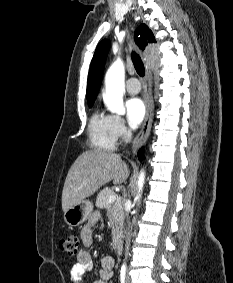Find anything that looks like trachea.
<instances>
[{"label":"trachea","instance_id":"1","mask_svg":"<svg viewBox=\"0 0 233 283\" xmlns=\"http://www.w3.org/2000/svg\"><path fill=\"white\" fill-rule=\"evenodd\" d=\"M132 61H133L134 67H135L138 75L144 76L145 69H144L143 62H142L141 58L139 57V55L135 52H132Z\"/></svg>","mask_w":233,"mask_h":283}]
</instances>
